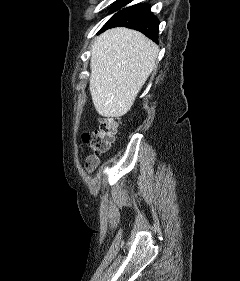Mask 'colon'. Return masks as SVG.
<instances>
[{
  "instance_id": "colon-1",
  "label": "colon",
  "mask_w": 240,
  "mask_h": 281,
  "mask_svg": "<svg viewBox=\"0 0 240 281\" xmlns=\"http://www.w3.org/2000/svg\"><path fill=\"white\" fill-rule=\"evenodd\" d=\"M118 131V121L114 118H102L99 128L82 136L83 142L90 147L93 154L87 158L86 169L92 170L98 164V155L106 152L114 142Z\"/></svg>"
}]
</instances>
